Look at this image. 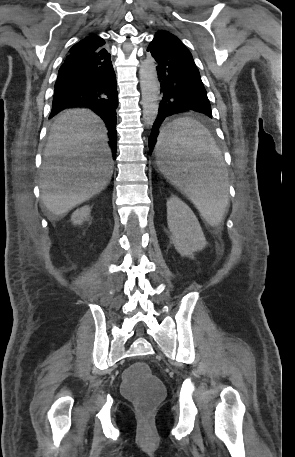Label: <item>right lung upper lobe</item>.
I'll return each mask as SVG.
<instances>
[{"label":"right lung upper lobe","instance_id":"1","mask_svg":"<svg viewBox=\"0 0 295 457\" xmlns=\"http://www.w3.org/2000/svg\"><path fill=\"white\" fill-rule=\"evenodd\" d=\"M104 44L105 41L101 37L91 34L88 37L79 41L77 44H75L69 50V55H81L92 53L102 48Z\"/></svg>","mask_w":295,"mask_h":457}]
</instances>
